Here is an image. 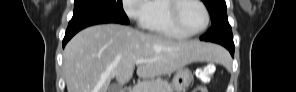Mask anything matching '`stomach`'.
I'll return each mask as SVG.
<instances>
[{"instance_id": "0dacf381", "label": "stomach", "mask_w": 296, "mask_h": 92, "mask_svg": "<svg viewBox=\"0 0 296 92\" xmlns=\"http://www.w3.org/2000/svg\"><path fill=\"white\" fill-rule=\"evenodd\" d=\"M192 80L193 75L188 68L177 70L172 81L173 92H185Z\"/></svg>"}]
</instances>
